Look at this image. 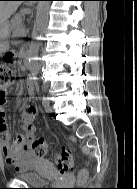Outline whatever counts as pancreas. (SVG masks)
Listing matches in <instances>:
<instances>
[{"label": "pancreas", "mask_w": 137, "mask_h": 189, "mask_svg": "<svg viewBox=\"0 0 137 189\" xmlns=\"http://www.w3.org/2000/svg\"><path fill=\"white\" fill-rule=\"evenodd\" d=\"M23 14L18 13L14 15V17L11 20L12 23V29L15 31V36L23 35L24 34V25L22 23L23 21Z\"/></svg>", "instance_id": "cf45deb5"}]
</instances>
